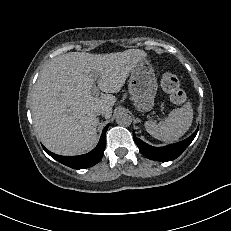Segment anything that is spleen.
<instances>
[{"instance_id":"3e777b00","label":"spleen","mask_w":231,"mask_h":231,"mask_svg":"<svg viewBox=\"0 0 231 231\" xmlns=\"http://www.w3.org/2000/svg\"><path fill=\"white\" fill-rule=\"evenodd\" d=\"M193 120V109L190 102L183 107L172 110L168 116L160 122L146 121V131L154 138L172 142L182 137L190 128Z\"/></svg>"}]
</instances>
